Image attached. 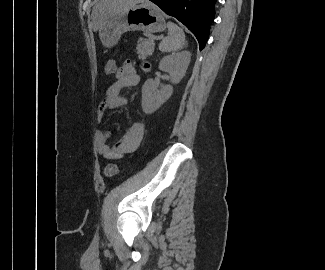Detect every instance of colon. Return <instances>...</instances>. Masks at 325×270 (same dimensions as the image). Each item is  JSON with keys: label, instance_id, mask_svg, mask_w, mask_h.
<instances>
[{"label": "colon", "instance_id": "colon-1", "mask_svg": "<svg viewBox=\"0 0 325 270\" xmlns=\"http://www.w3.org/2000/svg\"><path fill=\"white\" fill-rule=\"evenodd\" d=\"M118 67H117V62L115 59L110 58L107 60L105 64V73L107 75H113L116 73ZM118 172V166L115 164H109L105 167L104 169V175L106 177H112Z\"/></svg>", "mask_w": 325, "mask_h": 270}]
</instances>
